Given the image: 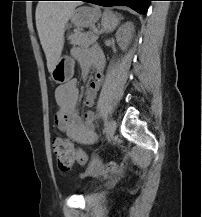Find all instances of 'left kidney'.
Listing matches in <instances>:
<instances>
[{
  "mask_svg": "<svg viewBox=\"0 0 202 217\" xmlns=\"http://www.w3.org/2000/svg\"><path fill=\"white\" fill-rule=\"evenodd\" d=\"M124 27H126V29L133 30V28H130V27H132L131 22H127L124 25ZM130 39H131V37H128L127 39L122 40L120 33H117V41L119 42L120 47L123 49L126 47V44L129 43Z\"/></svg>",
  "mask_w": 202,
  "mask_h": 217,
  "instance_id": "5707ae66",
  "label": "left kidney"
}]
</instances>
